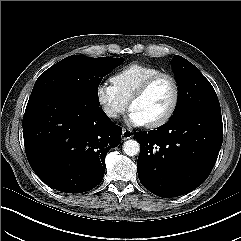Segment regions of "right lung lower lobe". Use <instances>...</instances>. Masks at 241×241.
Returning <instances> with one entry per match:
<instances>
[{"label": "right lung lower lobe", "mask_w": 241, "mask_h": 241, "mask_svg": "<svg viewBox=\"0 0 241 241\" xmlns=\"http://www.w3.org/2000/svg\"><path fill=\"white\" fill-rule=\"evenodd\" d=\"M122 129L99 106L51 92L29 99L23 117L26 155L36 175L65 193L96 187L105 155L119 145Z\"/></svg>", "instance_id": "98d812e1"}]
</instances>
